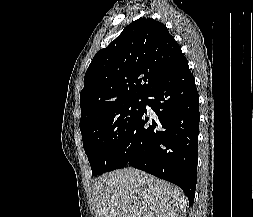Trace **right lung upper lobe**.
<instances>
[{
    "mask_svg": "<svg viewBox=\"0 0 253 217\" xmlns=\"http://www.w3.org/2000/svg\"><path fill=\"white\" fill-rule=\"evenodd\" d=\"M184 60L163 23L152 18L132 22L89 65L80 94V125L121 101L145 97Z\"/></svg>",
    "mask_w": 253,
    "mask_h": 217,
    "instance_id": "obj_1",
    "label": "right lung upper lobe"
}]
</instances>
